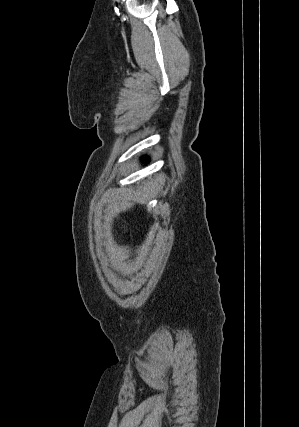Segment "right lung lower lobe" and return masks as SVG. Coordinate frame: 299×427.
Wrapping results in <instances>:
<instances>
[{
  "instance_id": "right-lung-lower-lobe-1",
  "label": "right lung lower lobe",
  "mask_w": 299,
  "mask_h": 427,
  "mask_svg": "<svg viewBox=\"0 0 299 427\" xmlns=\"http://www.w3.org/2000/svg\"><path fill=\"white\" fill-rule=\"evenodd\" d=\"M145 162H147V158L145 157L144 159H143Z\"/></svg>"
}]
</instances>
